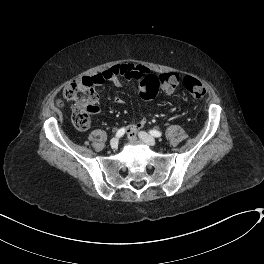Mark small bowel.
<instances>
[{
  "mask_svg": "<svg viewBox=\"0 0 264 264\" xmlns=\"http://www.w3.org/2000/svg\"><path fill=\"white\" fill-rule=\"evenodd\" d=\"M121 66L125 67V73L122 74L123 77L130 81H142L151 75L150 70L144 65L126 63ZM117 75L118 74L115 73L114 68H111L94 75L91 80L96 84H103L110 81L115 86L119 87L121 83ZM113 100L117 104H123V99L118 95H114ZM145 124L146 120L144 118H140L137 122L130 125L128 129L131 134L136 135L140 130H142Z\"/></svg>",
  "mask_w": 264,
  "mask_h": 264,
  "instance_id": "small-bowel-1",
  "label": "small bowel"
}]
</instances>
